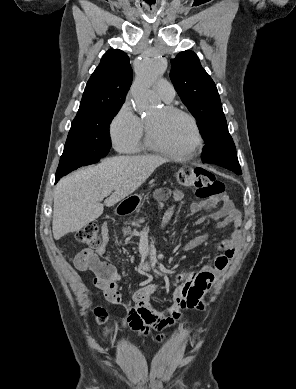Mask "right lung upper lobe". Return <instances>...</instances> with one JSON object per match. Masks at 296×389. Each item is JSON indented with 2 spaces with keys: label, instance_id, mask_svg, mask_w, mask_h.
I'll return each instance as SVG.
<instances>
[{
  "label": "right lung upper lobe",
  "instance_id": "obj_1",
  "mask_svg": "<svg viewBox=\"0 0 296 389\" xmlns=\"http://www.w3.org/2000/svg\"><path fill=\"white\" fill-rule=\"evenodd\" d=\"M132 78L127 54L118 49L108 50L88 80L75 119L98 110L122 106Z\"/></svg>",
  "mask_w": 296,
  "mask_h": 389
}]
</instances>
